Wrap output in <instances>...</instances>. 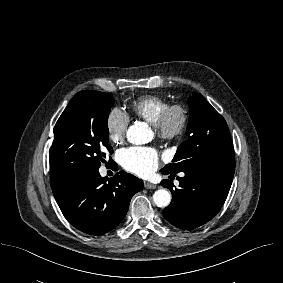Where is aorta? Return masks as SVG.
Instances as JSON below:
<instances>
[{"mask_svg": "<svg viewBox=\"0 0 283 283\" xmlns=\"http://www.w3.org/2000/svg\"><path fill=\"white\" fill-rule=\"evenodd\" d=\"M127 139L135 145L145 144L152 139V132L146 123L137 122L128 128ZM153 201L158 207H167L171 202V194L166 189L156 190Z\"/></svg>", "mask_w": 283, "mask_h": 283, "instance_id": "obj_1", "label": "aorta"}]
</instances>
